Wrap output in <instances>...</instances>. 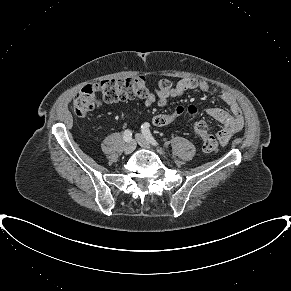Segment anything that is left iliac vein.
<instances>
[{"label":"left iliac vein","instance_id":"4c4485c4","mask_svg":"<svg viewBox=\"0 0 291 291\" xmlns=\"http://www.w3.org/2000/svg\"><path fill=\"white\" fill-rule=\"evenodd\" d=\"M136 141L137 143L143 148H150V143L144 138L141 134H136Z\"/></svg>","mask_w":291,"mask_h":291}]
</instances>
